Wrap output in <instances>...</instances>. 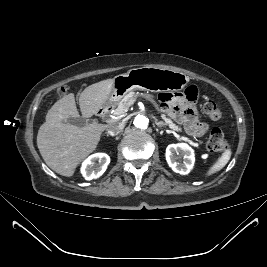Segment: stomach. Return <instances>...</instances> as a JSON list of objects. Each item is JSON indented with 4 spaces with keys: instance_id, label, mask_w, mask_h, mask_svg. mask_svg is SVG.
Wrapping results in <instances>:
<instances>
[{
    "instance_id": "stomach-1",
    "label": "stomach",
    "mask_w": 267,
    "mask_h": 267,
    "mask_svg": "<svg viewBox=\"0 0 267 267\" xmlns=\"http://www.w3.org/2000/svg\"><path fill=\"white\" fill-rule=\"evenodd\" d=\"M188 82L189 77L182 72L156 67L133 68L114 78L113 88L107 103H116L133 90L179 91Z\"/></svg>"
}]
</instances>
